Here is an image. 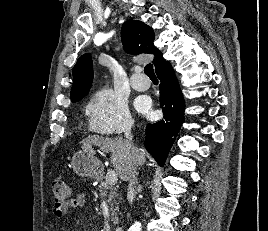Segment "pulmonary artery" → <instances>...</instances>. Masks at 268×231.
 Masks as SVG:
<instances>
[{"label": "pulmonary artery", "instance_id": "obj_1", "mask_svg": "<svg viewBox=\"0 0 268 231\" xmlns=\"http://www.w3.org/2000/svg\"><path fill=\"white\" fill-rule=\"evenodd\" d=\"M131 85L133 89L139 92H143V91H146L150 87V80L147 77H145V75L137 73L131 79Z\"/></svg>", "mask_w": 268, "mask_h": 231}]
</instances>
